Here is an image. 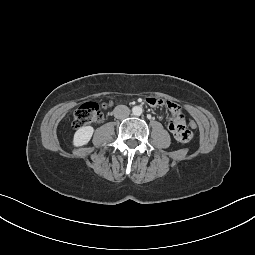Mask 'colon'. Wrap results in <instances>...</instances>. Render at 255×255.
Here are the masks:
<instances>
[{
	"label": "colon",
	"instance_id": "obj_1",
	"mask_svg": "<svg viewBox=\"0 0 255 255\" xmlns=\"http://www.w3.org/2000/svg\"><path fill=\"white\" fill-rule=\"evenodd\" d=\"M109 105L110 102H105L101 106L95 102H87L82 104L74 113V127L80 128L88 124L101 122L103 119L101 108H107ZM188 125L194 131L199 127L196 121L193 119L189 121Z\"/></svg>",
	"mask_w": 255,
	"mask_h": 255
}]
</instances>
